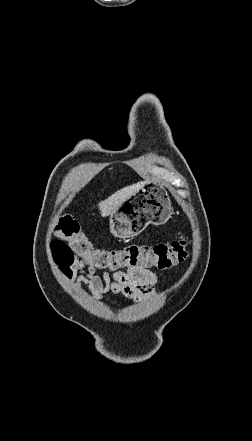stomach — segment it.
<instances>
[{
	"label": "stomach",
	"mask_w": 252,
	"mask_h": 441,
	"mask_svg": "<svg viewBox=\"0 0 252 441\" xmlns=\"http://www.w3.org/2000/svg\"><path fill=\"white\" fill-rule=\"evenodd\" d=\"M172 209L167 190L160 184L147 183L110 215L111 232L117 238H134L149 224L166 223Z\"/></svg>",
	"instance_id": "obj_1"
}]
</instances>
